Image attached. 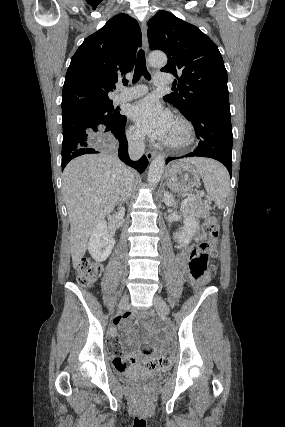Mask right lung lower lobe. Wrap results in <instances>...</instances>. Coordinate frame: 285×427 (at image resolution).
<instances>
[{"instance_id":"98d812e1","label":"right lung lower lobe","mask_w":285,"mask_h":427,"mask_svg":"<svg viewBox=\"0 0 285 427\" xmlns=\"http://www.w3.org/2000/svg\"><path fill=\"white\" fill-rule=\"evenodd\" d=\"M126 117L119 123L114 130L113 138L118 142V156L127 165L135 168L140 173L148 165L146 156L138 161H132L128 156V143L125 136ZM102 133L93 131V127L87 123H78L67 129V136L63 138L62 143V170L66 164L73 158L90 153H99L103 142L100 139Z\"/></svg>"}]
</instances>
